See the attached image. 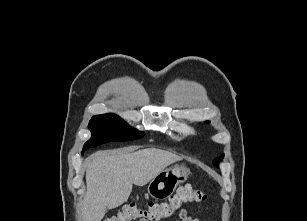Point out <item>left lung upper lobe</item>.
I'll return each mask as SVG.
<instances>
[{
  "instance_id": "obj_1",
  "label": "left lung upper lobe",
  "mask_w": 307,
  "mask_h": 221,
  "mask_svg": "<svg viewBox=\"0 0 307 221\" xmlns=\"http://www.w3.org/2000/svg\"><path fill=\"white\" fill-rule=\"evenodd\" d=\"M223 158H224V155L218 157L217 159L214 160L213 164H214L216 167H218V165H219L218 163H219Z\"/></svg>"
}]
</instances>
